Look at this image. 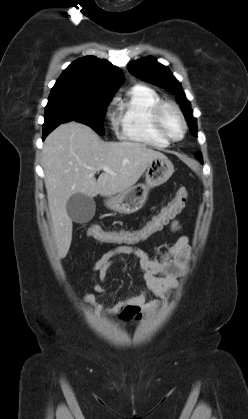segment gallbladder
<instances>
[{
    "label": "gallbladder",
    "instance_id": "bac80fb5",
    "mask_svg": "<svg viewBox=\"0 0 248 419\" xmlns=\"http://www.w3.org/2000/svg\"><path fill=\"white\" fill-rule=\"evenodd\" d=\"M96 210V204L92 197L81 193L73 194L67 202V213L76 223L89 222Z\"/></svg>",
    "mask_w": 248,
    "mask_h": 419
}]
</instances>
